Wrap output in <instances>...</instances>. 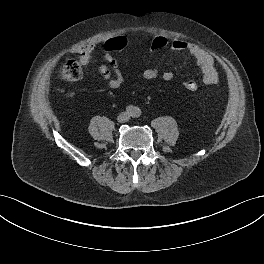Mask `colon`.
Here are the masks:
<instances>
[{
  "instance_id": "obj_1",
  "label": "colon",
  "mask_w": 264,
  "mask_h": 264,
  "mask_svg": "<svg viewBox=\"0 0 264 264\" xmlns=\"http://www.w3.org/2000/svg\"><path fill=\"white\" fill-rule=\"evenodd\" d=\"M128 45V39L124 35H116L106 40L104 44L105 50L108 52L122 51ZM168 45V39L165 36L157 35L150 43V51L157 53L165 49ZM62 77L69 81H77L82 77V68L74 59H67L61 66ZM183 87L188 91H196L199 83L195 79H189L183 83Z\"/></svg>"
}]
</instances>
